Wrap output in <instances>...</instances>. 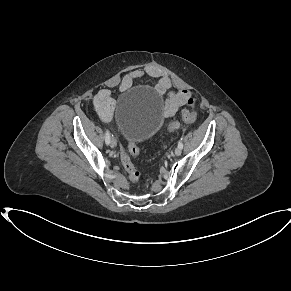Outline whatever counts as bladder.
<instances>
[{
  "mask_svg": "<svg viewBox=\"0 0 291 291\" xmlns=\"http://www.w3.org/2000/svg\"><path fill=\"white\" fill-rule=\"evenodd\" d=\"M116 122L128 143L149 140L163 125L159 97L145 86L127 89L120 97Z\"/></svg>",
  "mask_w": 291,
  "mask_h": 291,
  "instance_id": "bladder-1",
  "label": "bladder"
}]
</instances>
